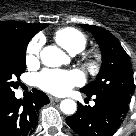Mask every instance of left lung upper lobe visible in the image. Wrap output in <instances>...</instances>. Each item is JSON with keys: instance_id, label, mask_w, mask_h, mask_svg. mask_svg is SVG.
<instances>
[{"instance_id": "left-lung-upper-lobe-1", "label": "left lung upper lobe", "mask_w": 136, "mask_h": 136, "mask_svg": "<svg viewBox=\"0 0 136 136\" xmlns=\"http://www.w3.org/2000/svg\"><path fill=\"white\" fill-rule=\"evenodd\" d=\"M92 32L102 52V66L96 77L81 89L87 95L125 94L134 91L133 72L129 57L119 41L107 30L94 25L82 24Z\"/></svg>"}]
</instances>
